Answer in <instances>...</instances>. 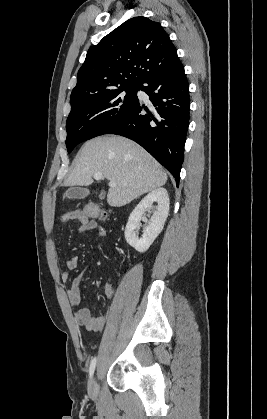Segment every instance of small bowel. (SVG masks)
<instances>
[{
	"instance_id": "obj_1",
	"label": "small bowel",
	"mask_w": 267,
	"mask_h": 419,
	"mask_svg": "<svg viewBox=\"0 0 267 419\" xmlns=\"http://www.w3.org/2000/svg\"><path fill=\"white\" fill-rule=\"evenodd\" d=\"M62 222H77L79 224V232L86 233L89 231H95L99 237L107 236V229L99 225L96 221L88 219L82 215L79 210H73L66 212L62 215ZM79 265V259L77 256L70 257L66 262L67 270L60 274V278L63 282L68 281L69 271L77 269ZM85 275V271L79 273L72 281L70 288L66 292L69 303L76 307L80 302V283ZM115 293V289L112 283L107 282L104 285V294L107 298L112 299ZM74 319L78 325L86 327L91 331H101L107 323L105 316L93 317L90 310L87 308H81L74 312Z\"/></svg>"
}]
</instances>
